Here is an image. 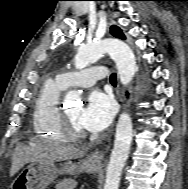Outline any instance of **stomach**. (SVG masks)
Instances as JSON below:
<instances>
[{"label":"stomach","mask_w":188,"mask_h":189,"mask_svg":"<svg viewBox=\"0 0 188 189\" xmlns=\"http://www.w3.org/2000/svg\"><path fill=\"white\" fill-rule=\"evenodd\" d=\"M99 164L89 158L81 163L71 161L60 164L36 161L24 168L12 183V189H45L59 174H76L78 172L95 173Z\"/></svg>","instance_id":"0dacf381"}]
</instances>
